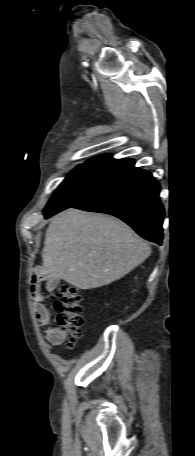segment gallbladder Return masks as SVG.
<instances>
[{
  "instance_id": "gallbladder-1",
  "label": "gallbladder",
  "mask_w": 195,
  "mask_h": 456,
  "mask_svg": "<svg viewBox=\"0 0 195 456\" xmlns=\"http://www.w3.org/2000/svg\"><path fill=\"white\" fill-rule=\"evenodd\" d=\"M47 280H48V285L51 288H54L56 286V282L55 281H53L52 279H49V278H47Z\"/></svg>"
}]
</instances>
